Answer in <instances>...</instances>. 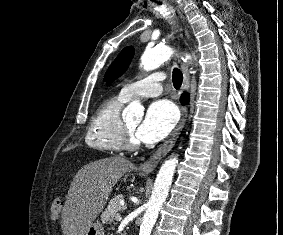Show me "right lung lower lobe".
I'll use <instances>...</instances> for the list:
<instances>
[{"label": "right lung lower lobe", "instance_id": "1", "mask_svg": "<svg viewBox=\"0 0 283 235\" xmlns=\"http://www.w3.org/2000/svg\"><path fill=\"white\" fill-rule=\"evenodd\" d=\"M186 99H187L186 95H183V96L181 97V101H182V102L186 101Z\"/></svg>", "mask_w": 283, "mask_h": 235}]
</instances>
